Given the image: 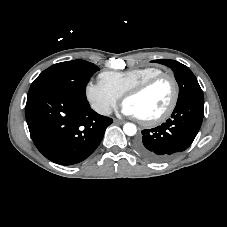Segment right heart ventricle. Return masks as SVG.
<instances>
[{
  "label": "right heart ventricle",
  "mask_w": 227,
  "mask_h": 227,
  "mask_svg": "<svg viewBox=\"0 0 227 227\" xmlns=\"http://www.w3.org/2000/svg\"><path fill=\"white\" fill-rule=\"evenodd\" d=\"M161 73H163V71L160 68L146 66L120 72H102L99 78L105 86L120 97L132 87Z\"/></svg>",
  "instance_id": "obj_1"
}]
</instances>
